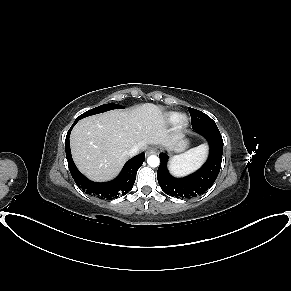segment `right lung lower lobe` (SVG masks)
<instances>
[{"mask_svg": "<svg viewBox=\"0 0 291 291\" xmlns=\"http://www.w3.org/2000/svg\"><path fill=\"white\" fill-rule=\"evenodd\" d=\"M77 122L78 121H75L73 123L67 133L65 140V150L68 167L75 183L87 194L96 196L100 199L111 200L119 196L125 195L128 191L132 189L135 183L136 173L145 160V153H141L127 161L121 173L114 180L104 183L93 182L87 179L83 174L78 171L71 156L69 137L73 126Z\"/></svg>", "mask_w": 291, "mask_h": 291, "instance_id": "obj_1", "label": "right lung lower lobe"}]
</instances>
